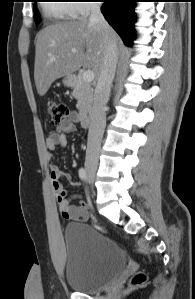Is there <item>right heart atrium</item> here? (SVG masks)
<instances>
[{
	"mask_svg": "<svg viewBox=\"0 0 195 299\" xmlns=\"http://www.w3.org/2000/svg\"><path fill=\"white\" fill-rule=\"evenodd\" d=\"M93 0H75L73 4V14L77 16H87L89 15L93 8L91 6Z\"/></svg>",
	"mask_w": 195,
	"mask_h": 299,
	"instance_id": "1",
	"label": "right heart atrium"
}]
</instances>
